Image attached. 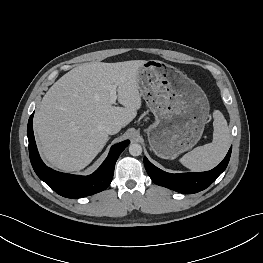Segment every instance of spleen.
<instances>
[{
  "label": "spleen",
  "mask_w": 263,
  "mask_h": 263,
  "mask_svg": "<svg viewBox=\"0 0 263 263\" xmlns=\"http://www.w3.org/2000/svg\"><path fill=\"white\" fill-rule=\"evenodd\" d=\"M213 141L186 153L180 162L192 171H207L217 166L225 157L230 145L227 121L219 110L213 112Z\"/></svg>",
  "instance_id": "3e777b00"
}]
</instances>
